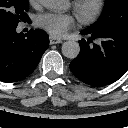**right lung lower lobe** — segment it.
Wrapping results in <instances>:
<instances>
[{"label":"right lung lower lobe","mask_w":128,"mask_h":128,"mask_svg":"<svg viewBox=\"0 0 128 128\" xmlns=\"http://www.w3.org/2000/svg\"><path fill=\"white\" fill-rule=\"evenodd\" d=\"M15 29L0 28V81L8 83L30 75L49 46L45 32L18 34Z\"/></svg>","instance_id":"98d812e1"}]
</instances>
